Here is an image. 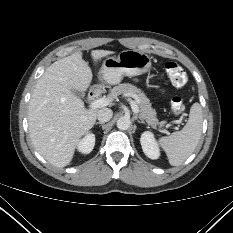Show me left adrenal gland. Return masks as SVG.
<instances>
[{"instance_id": "obj_1", "label": "left adrenal gland", "mask_w": 233, "mask_h": 233, "mask_svg": "<svg viewBox=\"0 0 233 233\" xmlns=\"http://www.w3.org/2000/svg\"><path fill=\"white\" fill-rule=\"evenodd\" d=\"M137 119H139L142 123H145L144 119L142 117H140V116H138L136 114H133V120H137Z\"/></svg>"}]
</instances>
